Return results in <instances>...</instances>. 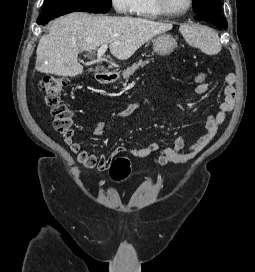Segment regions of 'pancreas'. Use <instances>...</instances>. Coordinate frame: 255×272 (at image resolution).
Segmentation results:
<instances>
[{
	"mask_svg": "<svg viewBox=\"0 0 255 272\" xmlns=\"http://www.w3.org/2000/svg\"><path fill=\"white\" fill-rule=\"evenodd\" d=\"M148 63H149V60H145V61L140 60L137 63L132 64L131 67H128L126 70L123 71V73H122L123 78L126 81H128L130 76L133 75L136 72L137 69L147 65Z\"/></svg>",
	"mask_w": 255,
	"mask_h": 272,
	"instance_id": "pancreas-1",
	"label": "pancreas"
}]
</instances>
